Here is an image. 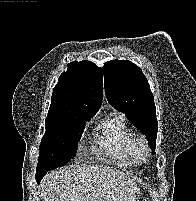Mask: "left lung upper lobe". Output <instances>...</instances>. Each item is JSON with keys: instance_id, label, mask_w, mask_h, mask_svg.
Wrapping results in <instances>:
<instances>
[{"instance_id": "1", "label": "left lung upper lobe", "mask_w": 196, "mask_h": 201, "mask_svg": "<svg viewBox=\"0 0 196 201\" xmlns=\"http://www.w3.org/2000/svg\"><path fill=\"white\" fill-rule=\"evenodd\" d=\"M103 73L108 102L147 136L155 154L158 131L156 107L141 68L127 60H112L104 64Z\"/></svg>"}]
</instances>
